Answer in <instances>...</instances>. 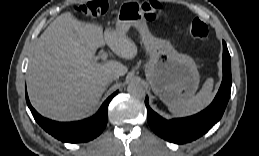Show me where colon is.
<instances>
[{
    "label": "colon",
    "mask_w": 259,
    "mask_h": 156,
    "mask_svg": "<svg viewBox=\"0 0 259 156\" xmlns=\"http://www.w3.org/2000/svg\"><path fill=\"white\" fill-rule=\"evenodd\" d=\"M111 8L110 3L107 0H94L85 4L79 5L77 11L87 17H101L106 15ZM145 16L149 20L156 19L161 13V6L159 3L149 1L144 4L143 7ZM189 31L193 37L199 40H205L208 36V27L206 23L200 19H195L189 26Z\"/></svg>",
    "instance_id": "1"
}]
</instances>
